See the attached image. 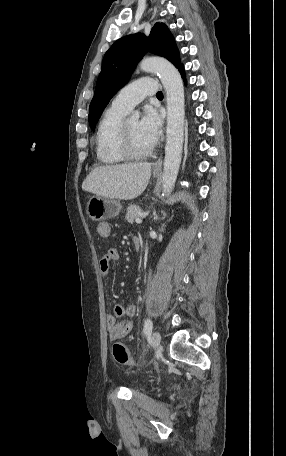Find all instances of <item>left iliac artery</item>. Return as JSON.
<instances>
[{
    "label": "left iliac artery",
    "instance_id": "obj_1",
    "mask_svg": "<svg viewBox=\"0 0 286 456\" xmlns=\"http://www.w3.org/2000/svg\"><path fill=\"white\" fill-rule=\"evenodd\" d=\"M152 328H153L152 321L150 319H146L145 324H144V329H143L144 334L145 335L150 334L152 332Z\"/></svg>",
    "mask_w": 286,
    "mask_h": 456
}]
</instances>
